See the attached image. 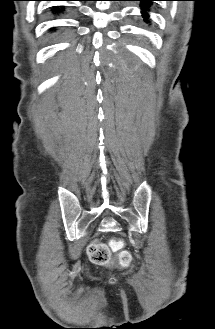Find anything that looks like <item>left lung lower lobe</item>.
<instances>
[{"mask_svg":"<svg viewBox=\"0 0 215 329\" xmlns=\"http://www.w3.org/2000/svg\"><path fill=\"white\" fill-rule=\"evenodd\" d=\"M137 1H141L142 9L146 10L149 7L150 3L156 0H137ZM143 17L145 18V20L148 19V15L145 12H143Z\"/></svg>","mask_w":215,"mask_h":329,"instance_id":"1","label":"left lung lower lobe"}]
</instances>
